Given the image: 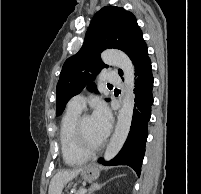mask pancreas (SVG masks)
Instances as JSON below:
<instances>
[{
    "mask_svg": "<svg viewBox=\"0 0 201 194\" xmlns=\"http://www.w3.org/2000/svg\"><path fill=\"white\" fill-rule=\"evenodd\" d=\"M84 188H80L78 191H76L74 194H82V190H83ZM86 193V192H85ZM84 193V194H85Z\"/></svg>",
    "mask_w": 201,
    "mask_h": 194,
    "instance_id": "obj_1",
    "label": "pancreas"
}]
</instances>
